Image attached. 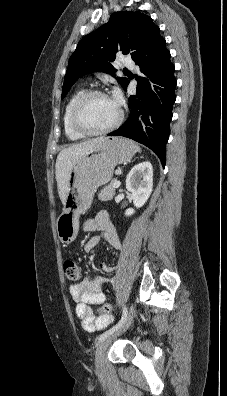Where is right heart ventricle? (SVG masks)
Segmentation results:
<instances>
[{
    "instance_id": "obj_1",
    "label": "right heart ventricle",
    "mask_w": 227,
    "mask_h": 396,
    "mask_svg": "<svg viewBox=\"0 0 227 396\" xmlns=\"http://www.w3.org/2000/svg\"><path fill=\"white\" fill-rule=\"evenodd\" d=\"M84 92V88L78 89L68 100L65 105L62 122L63 129L66 137L71 141H77L83 139L86 135L77 131L72 124V110L75 102L80 97V95Z\"/></svg>"
}]
</instances>
